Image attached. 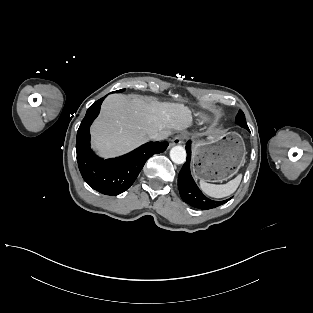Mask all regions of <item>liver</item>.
<instances>
[{
	"label": "liver",
	"instance_id": "liver-1",
	"mask_svg": "<svg viewBox=\"0 0 313 313\" xmlns=\"http://www.w3.org/2000/svg\"><path fill=\"white\" fill-rule=\"evenodd\" d=\"M191 120V111L183 104L113 94L105 99L92 125L93 147L103 156L120 155L148 141L152 133L167 138L173 131L184 130Z\"/></svg>",
	"mask_w": 313,
	"mask_h": 313
}]
</instances>
